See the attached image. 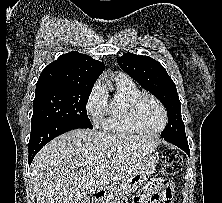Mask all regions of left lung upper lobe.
Masks as SVG:
<instances>
[{
    "label": "left lung upper lobe",
    "instance_id": "5c2ea615",
    "mask_svg": "<svg viewBox=\"0 0 222 203\" xmlns=\"http://www.w3.org/2000/svg\"><path fill=\"white\" fill-rule=\"evenodd\" d=\"M122 70L142 87L157 97L166 107L168 125L161 133L162 138L185 139V127L181 118V103L175 83L165 68L149 56L125 53L117 58Z\"/></svg>",
    "mask_w": 222,
    "mask_h": 203
}]
</instances>
